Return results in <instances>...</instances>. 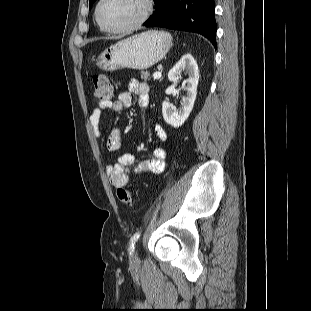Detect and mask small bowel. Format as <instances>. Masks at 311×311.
I'll return each instance as SVG.
<instances>
[{
	"mask_svg": "<svg viewBox=\"0 0 311 311\" xmlns=\"http://www.w3.org/2000/svg\"><path fill=\"white\" fill-rule=\"evenodd\" d=\"M133 95L138 98L139 106L146 113H149V86L137 79L130 80L128 90L121 92L116 100L99 103L93 108L89 116L90 127L96 137L100 136L101 119L105 109H111L120 113L132 104ZM153 132L156 137L165 142L168 138L166 130L161 125H153ZM121 146V133L118 128H113L106 138V147L109 151H117ZM166 150L162 147L155 148L151 156L139 162L128 153L121 154L114 163L106 166V174L113 187L127 185L130 178L148 173H161L164 169Z\"/></svg>",
	"mask_w": 311,
	"mask_h": 311,
	"instance_id": "small-bowel-1",
	"label": "small bowel"
}]
</instances>
